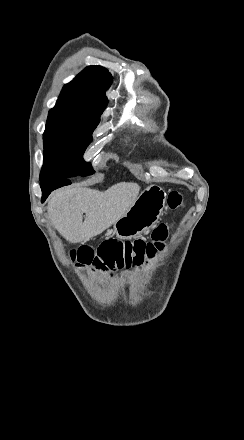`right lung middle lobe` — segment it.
Here are the masks:
<instances>
[{
	"label": "right lung middle lobe",
	"instance_id": "right-lung-middle-lobe-1",
	"mask_svg": "<svg viewBox=\"0 0 244 440\" xmlns=\"http://www.w3.org/2000/svg\"><path fill=\"white\" fill-rule=\"evenodd\" d=\"M103 110L56 105L50 110L45 132L44 165L40 181L94 174L83 159Z\"/></svg>",
	"mask_w": 244,
	"mask_h": 440
}]
</instances>
